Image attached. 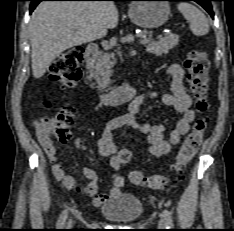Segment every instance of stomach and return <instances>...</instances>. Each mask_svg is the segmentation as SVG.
I'll return each instance as SVG.
<instances>
[{
    "label": "stomach",
    "instance_id": "0dacf381",
    "mask_svg": "<svg viewBox=\"0 0 234 231\" xmlns=\"http://www.w3.org/2000/svg\"><path fill=\"white\" fill-rule=\"evenodd\" d=\"M169 15L170 6L166 1L145 0L132 2L129 5L130 20L144 29L160 27L168 20Z\"/></svg>",
    "mask_w": 234,
    "mask_h": 231
}]
</instances>
